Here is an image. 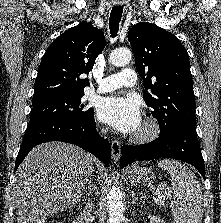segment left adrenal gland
Segmentation results:
<instances>
[{
	"label": "left adrenal gland",
	"mask_w": 221,
	"mask_h": 223,
	"mask_svg": "<svg viewBox=\"0 0 221 223\" xmlns=\"http://www.w3.org/2000/svg\"><path fill=\"white\" fill-rule=\"evenodd\" d=\"M143 197H138L134 191H132V204H135L137 201H139Z\"/></svg>",
	"instance_id": "left-adrenal-gland-1"
}]
</instances>
